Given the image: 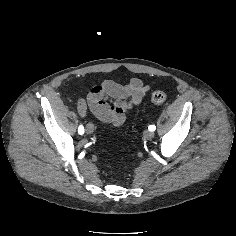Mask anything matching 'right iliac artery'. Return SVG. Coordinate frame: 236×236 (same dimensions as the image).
Wrapping results in <instances>:
<instances>
[{"mask_svg": "<svg viewBox=\"0 0 236 236\" xmlns=\"http://www.w3.org/2000/svg\"><path fill=\"white\" fill-rule=\"evenodd\" d=\"M78 133L81 135L84 133V127L82 125L79 126Z\"/></svg>", "mask_w": 236, "mask_h": 236, "instance_id": "1", "label": "right iliac artery"}]
</instances>
